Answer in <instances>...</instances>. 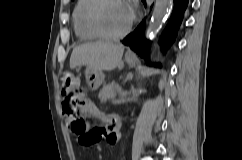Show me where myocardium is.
<instances>
[{
	"label": "myocardium",
	"mask_w": 242,
	"mask_h": 160,
	"mask_svg": "<svg viewBox=\"0 0 242 160\" xmlns=\"http://www.w3.org/2000/svg\"><path fill=\"white\" fill-rule=\"evenodd\" d=\"M106 0H94L88 11V23L91 29L101 38L111 41H117L126 37L133 29L136 17L133 14L132 19L126 29L119 34H109L102 28L99 21V11Z\"/></svg>",
	"instance_id": "myocardium-1"
}]
</instances>
